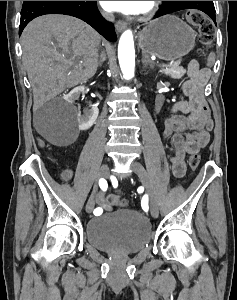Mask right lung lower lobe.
Segmentation results:
<instances>
[{"instance_id":"1","label":"right lung lower lobe","mask_w":237,"mask_h":300,"mask_svg":"<svg viewBox=\"0 0 237 300\" xmlns=\"http://www.w3.org/2000/svg\"><path fill=\"white\" fill-rule=\"evenodd\" d=\"M45 14H65L82 19L109 41H116L117 36L112 23L105 21L96 6V1H34L23 5L19 34L34 18Z\"/></svg>"}]
</instances>
